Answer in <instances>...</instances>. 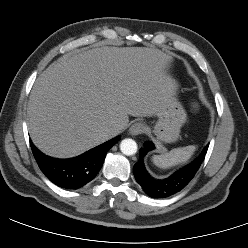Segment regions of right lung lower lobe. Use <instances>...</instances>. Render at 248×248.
I'll return each mask as SVG.
<instances>
[{
	"label": "right lung lower lobe",
	"instance_id": "98d812e1",
	"mask_svg": "<svg viewBox=\"0 0 248 248\" xmlns=\"http://www.w3.org/2000/svg\"><path fill=\"white\" fill-rule=\"evenodd\" d=\"M120 139L117 136L71 159H56L40 152L30 141L33 155L44 175L66 189H78L93 180L103 165L106 153Z\"/></svg>",
	"mask_w": 248,
	"mask_h": 248
}]
</instances>
